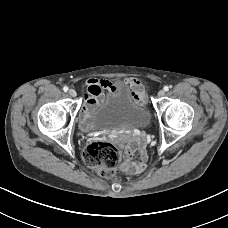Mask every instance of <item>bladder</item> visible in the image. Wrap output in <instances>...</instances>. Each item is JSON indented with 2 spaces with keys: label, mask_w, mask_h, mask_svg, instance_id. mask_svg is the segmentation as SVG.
I'll use <instances>...</instances> for the list:
<instances>
[{
  "label": "bladder",
  "mask_w": 228,
  "mask_h": 228,
  "mask_svg": "<svg viewBox=\"0 0 228 228\" xmlns=\"http://www.w3.org/2000/svg\"><path fill=\"white\" fill-rule=\"evenodd\" d=\"M150 122V112L135 95L133 88L120 82L109 88L85 123L91 129L110 131L144 128Z\"/></svg>",
  "instance_id": "31cf9c89"
}]
</instances>
